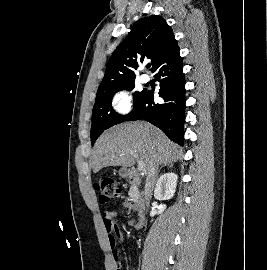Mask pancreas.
<instances>
[{"mask_svg": "<svg viewBox=\"0 0 267 270\" xmlns=\"http://www.w3.org/2000/svg\"><path fill=\"white\" fill-rule=\"evenodd\" d=\"M128 195L131 199V201L135 202V203H138L139 202V199H140V195L138 193V189L136 188L135 185H132L129 192H128Z\"/></svg>", "mask_w": 267, "mask_h": 270, "instance_id": "pancreas-1", "label": "pancreas"}]
</instances>
